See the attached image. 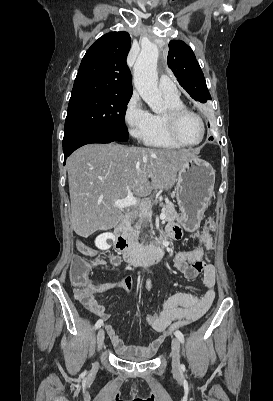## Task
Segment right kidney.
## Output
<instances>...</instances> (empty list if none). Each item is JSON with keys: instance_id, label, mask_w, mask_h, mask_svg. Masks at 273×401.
Returning <instances> with one entry per match:
<instances>
[{"instance_id": "1", "label": "right kidney", "mask_w": 273, "mask_h": 401, "mask_svg": "<svg viewBox=\"0 0 273 401\" xmlns=\"http://www.w3.org/2000/svg\"><path fill=\"white\" fill-rule=\"evenodd\" d=\"M114 239L115 237L113 233H103V235H99V237H96L95 245L96 247H98V249H101V251H107V249H110V247H112Z\"/></svg>"}]
</instances>
